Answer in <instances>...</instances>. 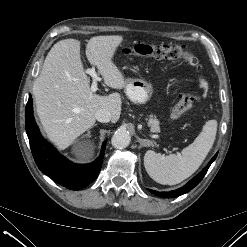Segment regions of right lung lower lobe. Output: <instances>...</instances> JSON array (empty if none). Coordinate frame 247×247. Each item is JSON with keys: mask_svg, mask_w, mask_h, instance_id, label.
I'll use <instances>...</instances> for the list:
<instances>
[{"mask_svg": "<svg viewBox=\"0 0 247 247\" xmlns=\"http://www.w3.org/2000/svg\"><path fill=\"white\" fill-rule=\"evenodd\" d=\"M25 126L30 148L38 168L54 182L70 189L80 190L93 182L102 166L106 141L100 156L90 164H75L60 155L40 134L33 116V101L29 96L25 110Z\"/></svg>", "mask_w": 247, "mask_h": 247, "instance_id": "98d812e1", "label": "right lung lower lobe"}]
</instances>
